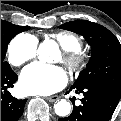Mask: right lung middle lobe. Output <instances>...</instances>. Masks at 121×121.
Returning a JSON list of instances; mask_svg holds the SVG:
<instances>
[{
    "label": "right lung middle lobe",
    "mask_w": 121,
    "mask_h": 121,
    "mask_svg": "<svg viewBox=\"0 0 121 121\" xmlns=\"http://www.w3.org/2000/svg\"><path fill=\"white\" fill-rule=\"evenodd\" d=\"M27 26H17L7 21L1 20V67H10L7 62H4L6 50L10 40L19 32L27 30Z\"/></svg>",
    "instance_id": "dd1d6c3e"
}]
</instances>
